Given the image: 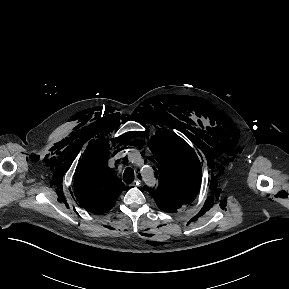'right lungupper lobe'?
Here are the masks:
<instances>
[{
	"mask_svg": "<svg viewBox=\"0 0 289 289\" xmlns=\"http://www.w3.org/2000/svg\"><path fill=\"white\" fill-rule=\"evenodd\" d=\"M88 148L76 170L75 197L87 211L103 214L113 207L126 188L107 166L109 145L101 146L98 140Z\"/></svg>",
	"mask_w": 289,
	"mask_h": 289,
	"instance_id": "cb5924a9",
	"label": "right lung upper lobe"
}]
</instances>
